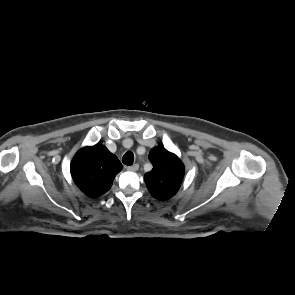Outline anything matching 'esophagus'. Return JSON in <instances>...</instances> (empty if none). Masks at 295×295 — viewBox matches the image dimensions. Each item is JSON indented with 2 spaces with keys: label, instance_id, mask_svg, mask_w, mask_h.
Segmentation results:
<instances>
[{
  "label": "esophagus",
  "instance_id": "esophagus-1",
  "mask_svg": "<svg viewBox=\"0 0 295 295\" xmlns=\"http://www.w3.org/2000/svg\"><path fill=\"white\" fill-rule=\"evenodd\" d=\"M139 169V165L138 164H134L132 166H128L127 170L128 171H137Z\"/></svg>",
  "mask_w": 295,
  "mask_h": 295
}]
</instances>
